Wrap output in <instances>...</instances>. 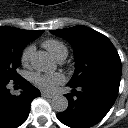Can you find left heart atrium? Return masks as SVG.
Segmentation results:
<instances>
[{"label":"left heart atrium","instance_id":"left-heart-atrium-1","mask_svg":"<svg viewBox=\"0 0 128 128\" xmlns=\"http://www.w3.org/2000/svg\"><path fill=\"white\" fill-rule=\"evenodd\" d=\"M65 78L60 73L54 74H40L34 73L31 81L40 89L44 91H53L57 85L62 84Z\"/></svg>","mask_w":128,"mask_h":128}]
</instances>
